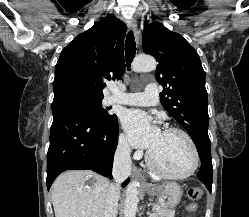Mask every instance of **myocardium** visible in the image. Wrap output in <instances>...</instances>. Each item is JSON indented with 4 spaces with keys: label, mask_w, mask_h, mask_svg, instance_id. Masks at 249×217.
Here are the masks:
<instances>
[{
    "label": "myocardium",
    "mask_w": 249,
    "mask_h": 217,
    "mask_svg": "<svg viewBox=\"0 0 249 217\" xmlns=\"http://www.w3.org/2000/svg\"><path fill=\"white\" fill-rule=\"evenodd\" d=\"M163 132L178 133V134L182 135L187 140V142L190 145V148L192 150V153H193L192 166L187 172L181 173V174H173V173L166 172L164 170H161L156 165V163L153 160L151 151H148L147 155H146V161H147V164H148L150 170L153 173H155L156 175H158L162 178H165V179L182 180V179L189 178L190 176H192L196 172V170L199 166V162H200L199 151H198V148L196 146L195 141L193 140V138L190 136V134L188 132H186L185 130L178 128V127H168L166 129H164Z\"/></svg>",
    "instance_id": "f54148a6"
}]
</instances>
